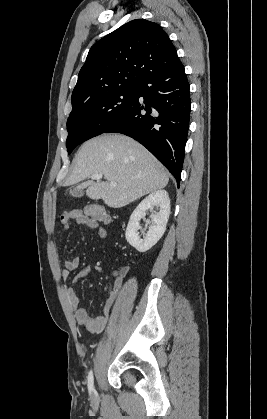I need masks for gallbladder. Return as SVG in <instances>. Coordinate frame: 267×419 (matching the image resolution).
Wrapping results in <instances>:
<instances>
[{"label": "gallbladder", "instance_id": "bac80fb5", "mask_svg": "<svg viewBox=\"0 0 267 419\" xmlns=\"http://www.w3.org/2000/svg\"><path fill=\"white\" fill-rule=\"evenodd\" d=\"M70 193L75 197H81L83 195L82 189L80 187L70 190Z\"/></svg>", "mask_w": 267, "mask_h": 419}]
</instances>
